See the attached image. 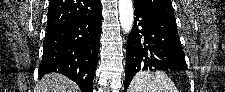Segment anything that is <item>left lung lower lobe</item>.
Listing matches in <instances>:
<instances>
[{
  "label": "left lung lower lobe",
  "instance_id": "left-lung-lower-lobe-1",
  "mask_svg": "<svg viewBox=\"0 0 225 92\" xmlns=\"http://www.w3.org/2000/svg\"><path fill=\"white\" fill-rule=\"evenodd\" d=\"M135 21L126 48L124 91L138 71L187 70L176 21L135 9Z\"/></svg>",
  "mask_w": 225,
  "mask_h": 92
}]
</instances>
